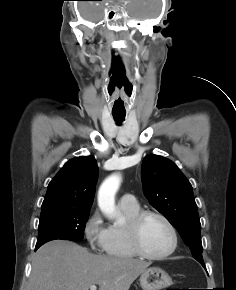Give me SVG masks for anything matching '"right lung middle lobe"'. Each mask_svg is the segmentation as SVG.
I'll list each match as a JSON object with an SVG mask.
<instances>
[{
	"mask_svg": "<svg viewBox=\"0 0 236 290\" xmlns=\"http://www.w3.org/2000/svg\"><path fill=\"white\" fill-rule=\"evenodd\" d=\"M90 210H42L36 249L44 243L62 240H82Z\"/></svg>",
	"mask_w": 236,
	"mask_h": 290,
	"instance_id": "1",
	"label": "right lung middle lobe"
}]
</instances>
